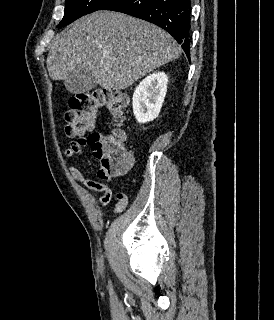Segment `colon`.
<instances>
[{"label":"colon","mask_w":274,"mask_h":320,"mask_svg":"<svg viewBox=\"0 0 274 320\" xmlns=\"http://www.w3.org/2000/svg\"><path fill=\"white\" fill-rule=\"evenodd\" d=\"M68 110L65 112V133L86 134L91 139V145L101 157V169L111 176L127 172L133 165V156L124 152L125 133L116 128L110 132L90 131L89 120H96L99 110L105 108L114 122L124 119V109L127 99L123 95L110 94L103 89L79 92L68 99ZM116 196H126L119 191Z\"/></svg>","instance_id":"obj_1"}]
</instances>
